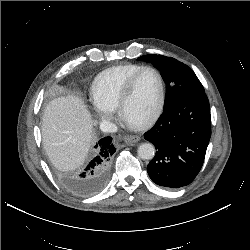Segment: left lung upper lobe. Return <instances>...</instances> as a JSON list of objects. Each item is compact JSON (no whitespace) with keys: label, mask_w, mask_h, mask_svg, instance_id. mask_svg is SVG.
<instances>
[{"label":"left lung upper lobe","mask_w":250,"mask_h":250,"mask_svg":"<svg viewBox=\"0 0 250 250\" xmlns=\"http://www.w3.org/2000/svg\"><path fill=\"white\" fill-rule=\"evenodd\" d=\"M138 60L149 62L160 70L167 85L164 109L189 96L204 93V88L193 70L182 62L156 54L141 56Z\"/></svg>","instance_id":"obj_1"}]
</instances>
